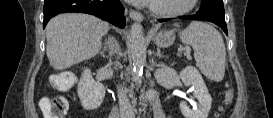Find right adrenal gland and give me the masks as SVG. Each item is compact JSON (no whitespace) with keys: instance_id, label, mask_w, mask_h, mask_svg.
Returning a JSON list of instances; mask_svg holds the SVG:
<instances>
[{"instance_id":"right-adrenal-gland-1","label":"right adrenal gland","mask_w":273,"mask_h":118,"mask_svg":"<svg viewBox=\"0 0 273 118\" xmlns=\"http://www.w3.org/2000/svg\"><path fill=\"white\" fill-rule=\"evenodd\" d=\"M108 50L109 52V57L111 58L117 50V41L113 36H108V38L105 40V44L103 47V50L101 52L102 56L105 57V52Z\"/></svg>"}]
</instances>
